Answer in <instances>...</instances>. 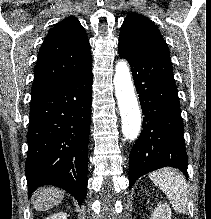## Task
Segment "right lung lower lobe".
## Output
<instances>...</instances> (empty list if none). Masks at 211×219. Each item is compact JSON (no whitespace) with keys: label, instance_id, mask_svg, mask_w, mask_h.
<instances>
[{"label":"right lung lower lobe","instance_id":"obj_1","mask_svg":"<svg viewBox=\"0 0 211 219\" xmlns=\"http://www.w3.org/2000/svg\"><path fill=\"white\" fill-rule=\"evenodd\" d=\"M91 100V64L32 95L25 163L29 197L42 185H54L82 204L87 189Z\"/></svg>","mask_w":211,"mask_h":219}]
</instances>
